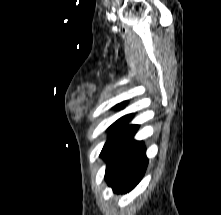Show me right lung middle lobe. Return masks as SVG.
<instances>
[{
    "instance_id": "right-lung-middle-lobe-1",
    "label": "right lung middle lobe",
    "mask_w": 221,
    "mask_h": 215,
    "mask_svg": "<svg viewBox=\"0 0 221 215\" xmlns=\"http://www.w3.org/2000/svg\"><path fill=\"white\" fill-rule=\"evenodd\" d=\"M133 114H129V115H125L122 118H120L119 120H117L114 124H112L109 128V130L111 131V134L106 142V144L104 145V148L101 152V155L103 154L107 144L110 142V140L114 137V135L123 127L125 126V124L132 118Z\"/></svg>"
}]
</instances>
